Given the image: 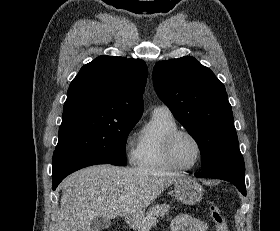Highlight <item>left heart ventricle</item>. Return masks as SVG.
Returning a JSON list of instances; mask_svg holds the SVG:
<instances>
[{"instance_id": "b2bd125f", "label": "left heart ventricle", "mask_w": 280, "mask_h": 231, "mask_svg": "<svg viewBox=\"0 0 280 231\" xmlns=\"http://www.w3.org/2000/svg\"><path fill=\"white\" fill-rule=\"evenodd\" d=\"M199 157V149L195 140L188 135H180L173 145V158L183 167L194 166Z\"/></svg>"}]
</instances>
